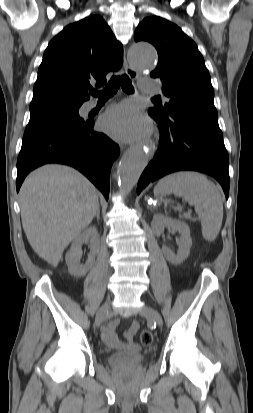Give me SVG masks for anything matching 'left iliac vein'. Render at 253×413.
Returning <instances> with one entry per match:
<instances>
[{"mask_svg":"<svg viewBox=\"0 0 253 413\" xmlns=\"http://www.w3.org/2000/svg\"><path fill=\"white\" fill-rule=\"evenodd\" d=\"M140 315L153 320L158 326H162L163 319L161 314L154 308L150 306H144L140 310Z\"/></svg>","mask_w":253,"mask_h":413,"instance_id":"obj_1","label":"left iliac vein"}]
</instances>
